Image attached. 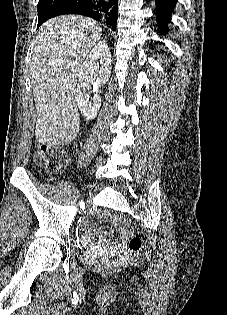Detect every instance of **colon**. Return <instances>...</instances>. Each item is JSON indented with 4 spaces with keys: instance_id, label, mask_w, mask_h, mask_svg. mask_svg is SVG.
Returning a JSON list of instances; mask_svg holds the SVG:
<instances>
[{
    "instance_id": "colon-1",
    "label": "colon",
    "mask_w": 227,
    "mask_h": 315,
    "mask_svg": "<svg viewBox=\"0 0 227 315\" xmlns=\"http://www.w3.org/2000/svg\"><path fill=\"white\" fill-rule=\"evenodd\" d=\"M80 142L71 140L58 146H49L41 144L35 151L34 160L38 166L46 172L54 173L72 160L79 152ZM113 222L116 226L127 225L126 219L122 216H113ZM127 229V228H126ZM142 249V239L139 236L128 234V249L119 254L105 258L101 261L99 268L108 270L113 267L124 264L126 261L137 257Z\"/></svg>"
}]
</instances>
